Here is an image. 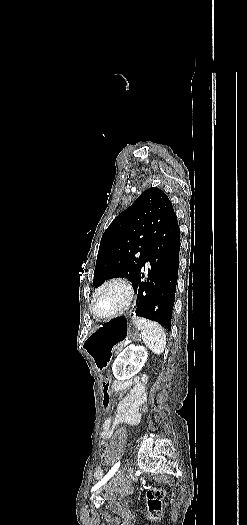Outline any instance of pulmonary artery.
Masks as SVG:
<instances>
[{
	"label": "pulmonary artery",
	"instance_id": "e3ab8cb5",
	"mask_svg": "<svg viewBox=\"0 0 247 525\" xmlns=\"http://www.w3.org/2000/svg\"><path fill=\"white\" fill-rule=\"evenodd\" d=\"M143 263H144V265L149 266V265H151L152 260H151V258L146 257V258H144Z\"/></svg>",
	"mask_w": 247,
	"mask_h": 525
}]
</instances>
